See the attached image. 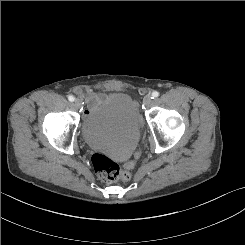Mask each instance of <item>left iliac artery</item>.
Listing matches in <instances>:
<instances>
[{
	"instance_id": "obj_1",
	"label": "left iliac artery",
	"mask_w": 245,
	"mask_h": 245,
	"mask_svg": "<svg viewBox=\"0 0 245 245\" xmlns=\"http://www.w3.org/2000/svg\"><path fill=\"white\" fill-rule=\"evenodd\" d=\"M159 96V92L158 91H154V92H152V94H151V98L152 99H154V98H156V97H158Z\"/></svg>"
}]
</instances>
